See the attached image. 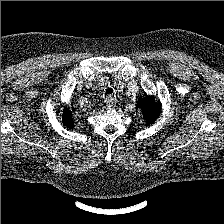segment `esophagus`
Here are the masks:
<instances>
[{"label":"esophagus","mask_w":224,"mask_h":224,"mask_svg":"<svg viewBox=\"0 0 224 224\" xmlns=\"http://www.w3.org/2000/svg\"><path fill=\"white\" fill-rule=\"evenodd\" d=\"M107 106L109 109L114 107V98L111 95L107 99Z\"/></svg>","instance_id":"34e87169"}]
</instances>
